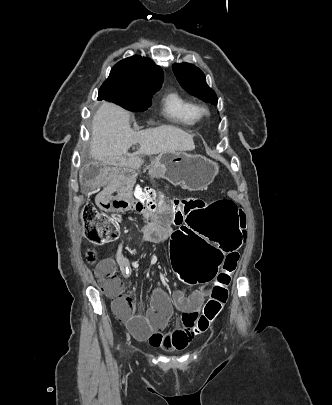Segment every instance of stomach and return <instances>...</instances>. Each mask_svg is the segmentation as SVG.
Segmentation results:
<instances>
[{
	"mask_svg": "<svg viewBox=\"0 0 332 405\" xmlns=\"http://www.w3.org/2000/svg\"><path fill=\"white\" fill-rule=\"evenodd\" d=\"M152 164L173 185L192 191L207 188L219 172L216 162L183 151L160 153Z\"/></svg>",
	"mask_w": 332,
	"mask_h": 405,
	"instance_id": "1",
	"label": "stomach"
}]
</instances>
